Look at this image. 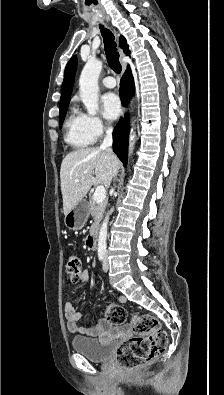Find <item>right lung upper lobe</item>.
<instances>
[{
    "mask_svg": "<svg viewBox=\"0 0 224 395\" xmlns=\"http://www.w3.org/2000/svg\"><path fill=\"white\" fill-rule=\"evenodd\" d=\"M120 47L124 49V53L129 54V47L127 45L126 39L121 36ZM77 58L72 57L67 63L64 73V81L61 87V98H60V110L68 107L70 96L72 92V86L74 83V75L76 72Z\"/></svg>",
    "mask_w": 224,
    "mask_h": 395,
    "instance_id": "cb5924a9",
    "label": "right lung upper lobe"
}]
</instances>
